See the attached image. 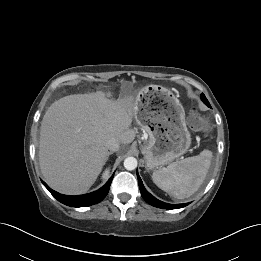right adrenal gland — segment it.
Wrapping results in <instances>:
<instances>
[{"label": "right adrenal gland", "instance_id": "1", "mask_svg": "<svg viewBox=\"0 0 261 261\" xmlns=\"http://www.w3.org/2000/svg\"><path fill=\"white\" fill-rule=\"evenodd\" d=\"M112 154H113V152L108 153L107 160H108L109 156L112 155Z\"/></svg>", "mask_w": 261, "mask_h": 261}]
</instances>
